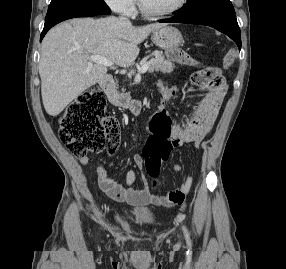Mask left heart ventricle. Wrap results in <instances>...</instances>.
<instances>
[{"mask_svg": "<svg viewBox=\"0 0 286 269\" xmlns=\"http://www.w3.org/2000/svg\"><path fill=\"white\" fill-rule=\"evenodd\" d=\"M146 9L161 12L172 8L179 0H142Z\"/></svg>", "mask_w": 286, "mask_h": 269, "instance_id": "left-heart-ventricle-1", "label": "left heart ventricle"}]
</instances>
